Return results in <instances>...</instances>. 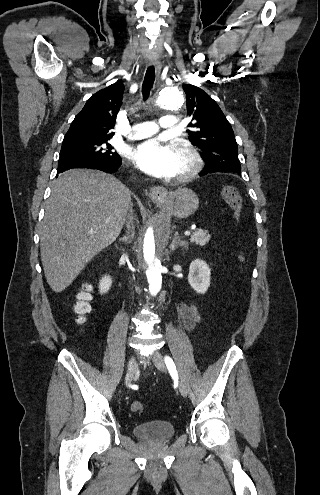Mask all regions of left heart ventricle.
Instances as JSON below:
<instances>
[{
  "mask_svg": "<svg viewBox=\"0 0 320 495\" xmlns=\"http://www.w3.org/2000/svg\"><path fill=\"white\" fill-rule=\"evenodd\" d=\"M175 153H176V157H177V171H176V175H178L186 167V161H185L184 156L180 152H178V151L175 150Z\"/></svg>",
  "mask_w": 320,
  "mask_h": 495,
  "instance_id": "left-heart-ventricle-1",
  "label": "left heart ventricle"
}]
</instances>
